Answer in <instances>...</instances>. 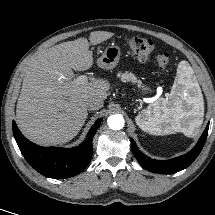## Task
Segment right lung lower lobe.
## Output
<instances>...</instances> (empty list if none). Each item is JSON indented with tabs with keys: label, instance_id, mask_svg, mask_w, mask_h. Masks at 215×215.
I'll list each match as a JSON object with an SVG mask.
<instances>
[{
	"label": "right lung lower lobe",
	"instance_id": "right-lung-lower-lobe-1",
	"mask_svg": "<svg viewBox=\"0 0 215 215\" xmlns=\"http://www.w3.org/2000/svg\"><path fill=\"white\" fill-rule=\"evenodd\" d=\"M102 119H98L86 140L74 148L41 147L27 140L13 122V134L27 162L39 173L50 178H68L79 174L92 157V140Z\"/></svg>",
	"mask_w": 215,
	"mask_h": 215
}]
</instances>
